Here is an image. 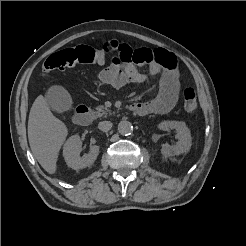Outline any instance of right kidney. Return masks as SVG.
Returning a JSON list of instances; mask_svg holds the SVG:
<instances>
[{
	"label": "right kidney",
	"mask_w": 246,
	"mask_h": 246,
	"mask_svg": "<svg viewBox=\"0 0 246 246\" xmlns=\"http://www.w3.org/2000/svg\"><path fill=\"white\" fill-rule=\"evenodd\" d=\"M81 147L82 142L78 135L71 136L63 147V156L65 162L70 168L74 170H79L91 166L99 154V146L92 145L90 147L89 153L83 157H80Z\"/></svg>",
	"instance_id": "right-kidney-1"
}]
</instances>
